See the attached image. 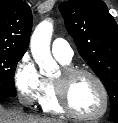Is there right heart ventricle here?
Returning <instances> with one entry per match:
<instances>
[{
  "mask_svg": "<svg viewBox=\"0 0 118 123\" xmlns=\"http://www.w3.org/2000/svg\"><path fill=\"white\" fill-rule=\"evenodd\" d=\"M62 63V62H61ZM63 65H68V63H62ZM39 104L43 111L52 113V114H62L64 111L60 108L53 87V81L46 79L45 80V91L42 98L39 101Z\"/></svg>",
  "mask_w": 118,
  "mask_h": 123,
  "instance_id": "e07e8e85",
  "label": "right heart ventricle"
}]
</instances>
